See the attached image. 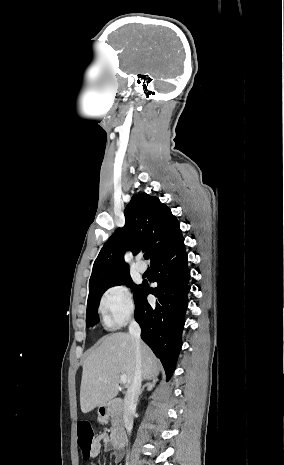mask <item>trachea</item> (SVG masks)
Masks as SVG:
<instances>
[{
	"label": "trachea",
	"mask_w": 284,
	"mask_h": 465,
	"mask_svg": "<svg viewBox=\"0 0 284 465\" xmlns=\"http://www.w3.org/2000/svg\"><path fill=\"white\" fill-rule=\"evenodd\" d=\"M148 258H149V255H148V254H144V259H145V260H148Z\"/></svg>",
	"instance_id": "3493384b"
}]
</instances>
